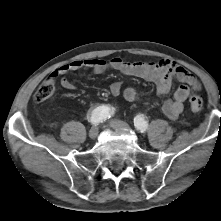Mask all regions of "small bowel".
Wrapping results in <instances>:
<instances>
[{"instance_id": "1", "label": "small bowel", "mask_w": 221, "mask_h": 221, "mask_svg": "<svg viewBox=\"0 0 221 221\" xmlns=\"http://www.w3.org/2000/svg\"><path fill=\"white\" fill-rule=\"evenodd\" d=\"M81 69L92 70L95 74H102L108 70H116L125 75L135 76L151 82L156 87V92L160 96L167 95L172 88L174 80L182 83L172 98L166 99L162 104L163 113L170 119H177L184 110V103L188 99L191 91L201 89V84L195 76L185 70L175 62L167 59L159 61H126L121 57H113L109 60L100 58H87L75 60L64 64L53 71L50 78L60 79V85L66 90H75V84L66 75ZM110 92L114 96L122 95L127 101L135 102L139 100L138 91L134 87L123 88L119 81L113 82Z\"/></svg>"}]
</instances>
